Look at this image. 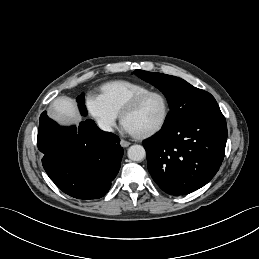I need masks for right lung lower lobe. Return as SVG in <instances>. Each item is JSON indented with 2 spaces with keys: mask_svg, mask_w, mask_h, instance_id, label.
Segmentation results:
<instances>
[{
  "mask_svg": "<svg viewBox=\"0 0 259 259\" xmlns=\"http://www.w3.org/2000/svg\"><path fill=\"white\" fill-rule=\"evenodd\" d=\"M37 142L46 173L74 198L104 196L120 169L123 148L119 137L100 130L91 119L81 122L78 129L65 128L43 112Z\"/></svg>",
  "mask_w": 259,
  "mask_h": 259,
  "instance_id": "1",
  "label": "right lung lower lobe"
}]
</instances>
